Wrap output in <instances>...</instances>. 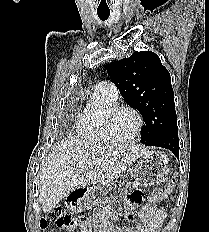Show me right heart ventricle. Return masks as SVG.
I'll return each instance as SVG.
<instances>
[{
	"mask_svg": "<svg viewBox=\"0 0 209 232\" xmlns=\"http://www.w3.org/2000/svg\"><path fill=\"white\" fill-rule=\"evenodd\" d=\"M115 101L100 90H94L89 103L77 117L76 129L78 135L87 142L104 144L109 142L104 134L103 118L108 108Z\"/></svg>",
	"mask_w": 209,
	"mask_h": 232,
	"instance_id": "right-heart-ventricle-1",
	"label": "right heart ventricle"
}]
</instances>
